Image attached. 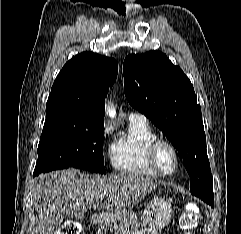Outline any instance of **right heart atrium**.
<instances>
[{
    "label": "right heart atrium",
    "instance_id": "obj_1",
    "mask_svg": "<svg viewBox=\"0 0 241 234\" xmlns=\"http://www.w3.org/2000/svg\"><path fill=\"white\" fill-rule=\"evenodd\" d=\"M112 132V129L110 126H105L104 129H103V136L104 137H107L111 134Z\"/></svg>",
    "mask_w": 241,
    "mask_h": 234
}]
</instances>
